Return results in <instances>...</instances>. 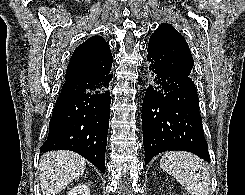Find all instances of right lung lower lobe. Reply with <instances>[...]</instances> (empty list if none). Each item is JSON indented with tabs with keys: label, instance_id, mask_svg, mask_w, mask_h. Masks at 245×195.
<instances>
[{
	"label": "right lung lower lobe",
	"instance_id": "98d812e1",
	"mask_svg": "<svg viewBox=\"0 0 245 195\" xmlns=\"http://www.w3.org/2000/svg\"><path fill=\"white\" fill-rule=\"evenodd\" d=\"M110 69L91 76L65 80L49 123L47 140L40 152L71 150L77 152L103 174L109 128L113 77Z\"/></svg>",
	"mask_w": 245,
	"mask_h": 195
}]
</instances>
